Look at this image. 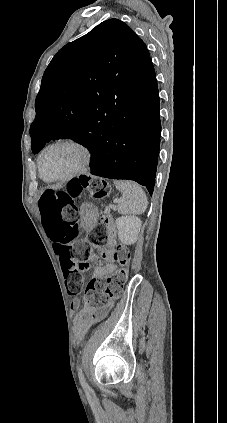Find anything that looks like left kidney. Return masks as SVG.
Masks as SVG:
<instances>
[{"label":"left kidney","instance_id":"obj_1","mask_svg":"<svg viewBox=\"0 0 227 423\" xmlns=\"http://www.w3.org/2000/svg\"><path fill=\"white\" fill-rule=\"evenodd\" d=\"M116 225L121 243L131 245V243L137 241L141 229L140 217H136V215H121V217H117Z\"/></svg>","mask_w":227,"mask_h":423}]
</instances>
